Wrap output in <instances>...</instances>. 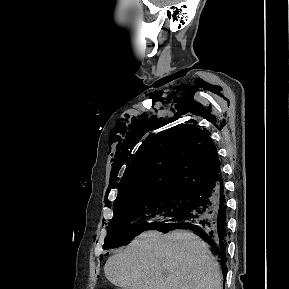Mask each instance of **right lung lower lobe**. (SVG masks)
<instances>
[{"instance_id":"right-lung-lower-lobe-1","label":"right lung lower lobe","mask_w":289,"mask_h":289,"mask_svg":"<svg viewBox=\"0 0 289 289\" xmlns=\"http://www.w3.org/2000/svg\"><path fill=\"white\" fill-rule=\"evenodd\" d=\"M226 201L222 176L194 192V199L186 213L171 218L156 230L163 233L187 229L197 233L218 255L224 276L226 266Z\"/></svg>"}]
</instances>
